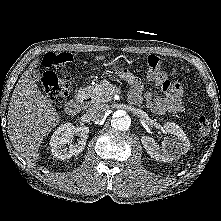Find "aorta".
<instances>
[{
	"mask_svg": "<svg viewBox=\"0 0 221 221\" xmlns=\"http://www.w3.org/2000/svg\"><path fill=\"white\" fill-rule=\"evenodd\" d=\"M131 125V117L123 110L114 113L111 126L118 131L128 130Z\"/></svg>",
	"mask_w": 221,
	"mask_h": 221,
	"instance_id": "1",
	"label": "aorta"
}]
</instances>
